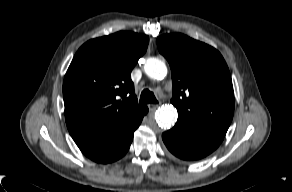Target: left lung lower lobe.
Returning <instances> with one entry per match:
<instances>
[{"label": "left lung lower lobe", "mask_w": 292, "mask_h": 192, "mask_svg": "<svg viewBox=\"0 0 292 192\" xmlns=\"http://www.w3.org/2000/svg\"><path fill=\"white\" fill-rule=\"evenodd\" d=\"M223 138L177 126L162 134L168 150L177 158L186 161L206 157L221 144Z\"/></svg>", "instance_id": "0a47b994"}]
</instances>
